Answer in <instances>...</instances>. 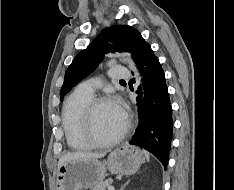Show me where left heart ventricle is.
Here are the masks:
<instances>
[{
    "instance_id": "b2bd125f",
    "label": "left heart ventricle",
    "mask_w": 234,
    "mask_h": 190,
    "mask_svg": "<svg viewBox=\"0 0 234 190\" xmlns=\"http://www.w3.org/2000/svg\"><path fill=\"white\" fill-rule=\"evenodd\" d=\"M124 124L125 120L118 116L110 102L99 106L94 114V131L101 139L115 136Z\"/></svg>"
}]
</instances>
